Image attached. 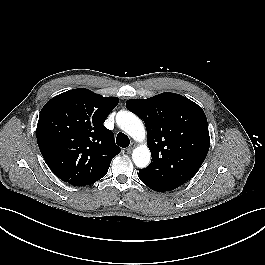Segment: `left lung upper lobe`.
<instances>
[{
	"instance_id": "obj_1",
	"label": "left lung upper lobe",
	"mask_w": 265,
	"mask_h": 265,
	"mask_svg": "<svg viewBox=\"0 0 265 265\" xmlns=\"http://www.w3.org/2000/svg\"><path fill=\"white\" fill-rule=\"evenodd\" d=\"M126 106L143 119L148 134L152 160L139 173L172 189L191 179L204 162L210 146L202 108L171 92L146 100L131 99Z\"/></svg>"
}]
</instances>
